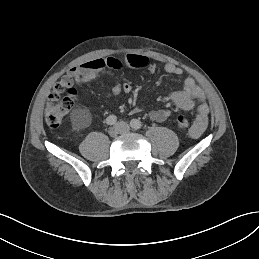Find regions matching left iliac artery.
Wrapping results in <instances>:
<instances>
[{
	"mask_svg": "<svg viewBox=\"0 0 259 259\" xmlns=\"http://www.w3.org/2000/svg\"><path fill=\"white\" fill-rule=\"evenodd\" d=\"M130 126L135 129V130H138V129H141L142 127V123L141 121H139L138 119H132L130 121Z\"/></svg>",
	"mask_w": 259,
	"mask_h": 259,
	"instance_id": "obj_1",
	"label": "left iliac artery"
}]
</instances>
